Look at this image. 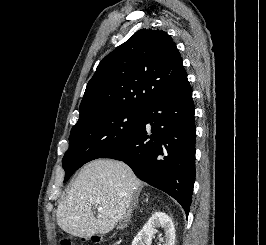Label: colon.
<instances>
[{"label": "colon", "mask_w": 266, "mask_h": 245, "mask_svg": "<svg viewBox=\"0 0 266 245\" xmlns=\"http://www.w3.org/2000/svg\"><path fill=\"white\" fill-rule=\"evenodd\" d=\"M93 242H97V241L94 240ZM60 245H73V242L69 239H63L61 240Z\"/></svg>", "instance_id": "5ec220e1"}]
</instances>
